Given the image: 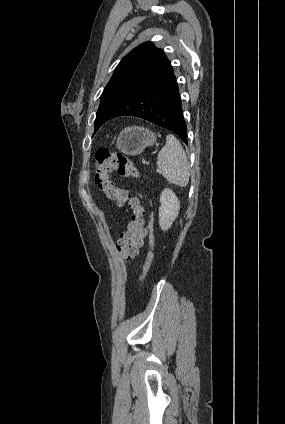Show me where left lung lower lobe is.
<instances>
[{
	"label": "left lung lower lobe",
	"instance_id": "left-lung-lower-lobe-1",
	"mask_svg": "<svg viewBox=\"0 0 285 424\" xmlns=\"http://www.w3.org/2000/svg\"><path fill=\"white\" fill-rule=\"evenodd\" d=\"M119 116L145 119L171 130L187 143L178 83L170 62L155 80L116 107L107 121Z\"/></svg>",
	"mask_w": 285,
	"mask_h": 424
}]
</instances>
